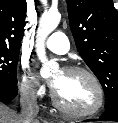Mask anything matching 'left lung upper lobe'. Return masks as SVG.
<instances>
[{"mask_svg":"<svg viewBox=\"0 0 118 123\" xmlns=\"http://www.w3.org/2000/svg\"><path fill=\"white\" fill-rule=\"evenodd\" d=\"M76 47L99 79L106 111L118 108V12L112 0H66Z\"/></svg>","mask_w":118,"mask_h":123,"instance_id":"1","label":"left lung upper lobe"}]
</instances>
